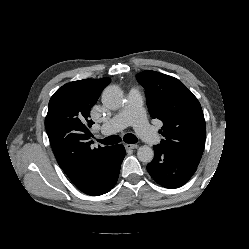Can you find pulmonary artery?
<instances>
[{
  "mask_svg": "<svg viewBox=\"0 0 249 249\" xmlns=\"http://www.w3.org/2000/svg\"><path fill=\"white\" fill-rule=\"evenodd\" d=\"M127 126H132L149 144L160 141L158 133L150 127L143 109V98L137 88H131L122 109L100 128L102 135H112Z\"/></svg>",
  "mask_w": 249,
  "mask_h": 249,
  "instance_id": "e3ab8cb5",
  "label": "pulmonary artery"
}]
</instances>
